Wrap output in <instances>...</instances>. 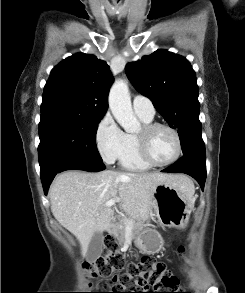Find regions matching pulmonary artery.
<instances>
[{
    "instance_id": "pulmonary-artery-1",
    "label": "pulmonary artery",
    "mask_w": 245,
    "mask_h": 293,
    "mask_svg": "<svg viewBox=\"0 0 245 293\" xmlns=\"http://www.w3.org/2000/svg\"><path fill=\"white\" fill-rule=\"evenodd\" d=\"M133 109L136 115L153 118L155 115V108L152 101L143 95H136L133 98Z\"/></svg>"
}]
</instances>
